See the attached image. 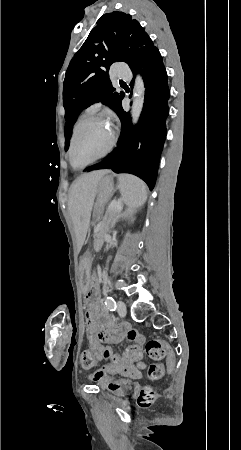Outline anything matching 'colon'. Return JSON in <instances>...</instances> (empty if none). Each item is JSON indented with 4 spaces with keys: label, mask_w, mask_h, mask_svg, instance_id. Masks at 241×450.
Returning <instances> with one entry per match:
<instances>
[{
    "label": "colon",
    "mask_w": 241,
    "mask_h": 450,
    "mask_svg": "<svg viewBox=\"0 0 241 450\" xmlns=\"http://www.w3.org/2000/svg\"><path fill=\"white\" fill-rule=\"evenodd\" d=\"M145 354L155 361L161 360L164 356L166 369H171L172 366L176 365L177 360L176 350L169 341H164L163 343L158 339H149L144 346ZM93 353L91 350H82L81 352V363L82 369L84 371H93L95 369V357H92ZM163 365L160 363L150 364L146 369V378L150 380H156L161 378L163 374ZM157 397V393L152 388H144L140 391L137 397V404L141 409L151 408Z\"/></svg>",
    "instance_id": "obj_1"
}]
</instances>
